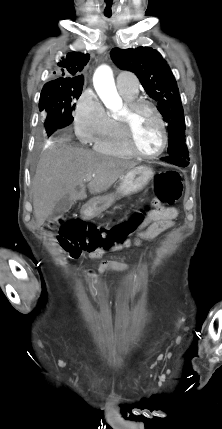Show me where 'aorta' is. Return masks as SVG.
I'll return each mask as SVG.
<instances>
[{
	"label": "aorta",
	"instance_id": "762f6f07",
	"mask_svg": "<svg viewBox=\"0 0 222 429\" xmlns=\"http://www.w3.org/2000/svg\"><path fill=\"white\" fill-rule=\"evenodd\" d=\"M94 88L103 101L104 105L115 111L122 105L116 86L114 83L113 72L109 66H100L93 77Z\"/></svg>",
	"mask_w": 222,
	"mask_h": 429
}]
</instances>
